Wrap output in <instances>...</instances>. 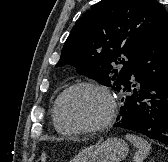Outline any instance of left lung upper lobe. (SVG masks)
Here are the masks:
<instances>
[{
  "instance_id": "5c2ea615",
  "label": "left lung upper lobe",
  "mask_w": 168,
  "mask_h": 162,
  "mask_svg": "<svg viewBox=\"0 0 168 162\" xmlns=\"http://www.w3.org/2000/svg\"><path fill=\"white\" fill-rule=\"evenodd\" d=\"M167 17L156 0H102L75 24L56 67L72 65L119 91L136 56ZM113 62L123 64L122 69H114Z\"/></svg>"
}]
</instances>
